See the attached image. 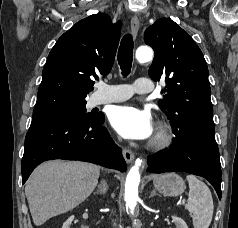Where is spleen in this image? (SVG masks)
<instances>
[{
    "label": "spleen",
    "instance_id": "3e777b00",
    "mask_svg": "<svg viewBox=\"0 0 238 228\" xmlns=\"http://www.w3.org/2000/svg\"><path fill=\"white\" fill-rule=\"evenodd\" d=\"M188 203L185 208L192 213L194 228H208L213 216V199L210 189L194 175H187Z\"/></svg>",
    "mask_w": 238,
    "mask_h": 228
}]
</instances>
